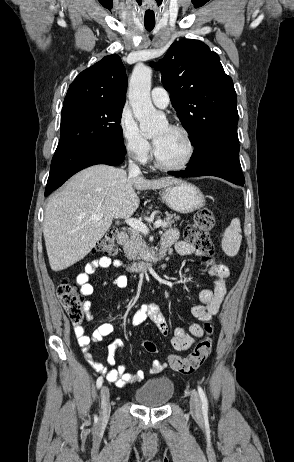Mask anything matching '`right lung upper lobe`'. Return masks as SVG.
<instances>
[{
    "instance_id": "cb5924a9",
    "label": "right lung upper lobe",
    "mask_w": 294,
    "mask_h": 462,
    "mask_svg": "<svg viewBox=\"0 0 294 462\" xmlns=\"http://www.w3.org/2000/svg\"><path fill=\"white\" fill-rule=\"evenodd\" d=\"M127 76L121 58L105 56L70 84L64 104L79 100L125 101Z\"/></svg>"
}]
</instances>
